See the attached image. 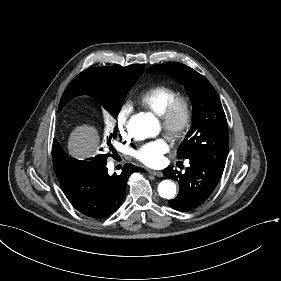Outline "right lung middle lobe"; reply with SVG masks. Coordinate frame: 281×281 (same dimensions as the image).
Instances as JSON below:
<instances>
[{"label":"right lung middle lobe","instance_id":"right-lung-middle-lobe-1","mask_svg":"<svg viewBox=\"0 0 281 281\" xmlns=\"http://www.w3.org/2000/svg\"><path fill=\"white\" fill-rule=\"evenodd\" d=\"M125 97L126 96L102 98L98 99V102L113 116H117ZM103 155L105 154H100L94 158L81 161L68 156L59 146H53V164L55 173L58 178L75 176L86 169L89 166L90 161Z\"/></svg>","mask_w":281,"mask_h":281}]
</instances>
